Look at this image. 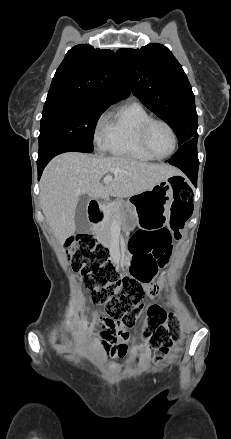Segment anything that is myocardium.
<instances>
[{"label": "myocardium", "mask_w": 231, "mask_h": 439, "mask_svg": "<svg viewBox=\"0 0 231 439\" xmlns=\"http://www.w3.org/2000/svg\"><path fill=\"white\" fill-rule=\"evenodd\" d=\"M154 124H162L164 125L171 133L173 139V145L169 153L165 155H157L150 146L149 143V132ZM140 142L142 147L155 159H166L170 157L177 149L178 146V136L173 128V126L166 120L161 118H150L147 120L141 128L140 131Z\"/></svg>", "instance_id": "obj_1"}]
</instances>
